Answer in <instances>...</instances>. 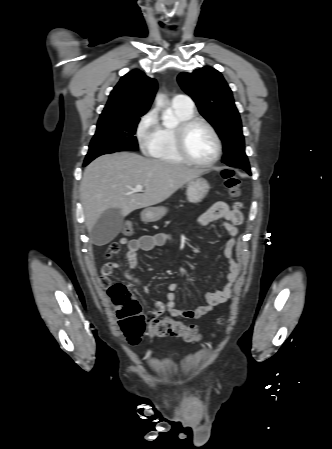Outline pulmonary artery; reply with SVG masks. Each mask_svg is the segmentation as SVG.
I'll use <instances>...</instances> for the list:
<instances>
[{
  "label": "pulmonary artery",
  "mask_w": 332,
  "mask_h": 449,
  "mask_svg": "<svg viewBox=\"0 0 332 449\" xmlns=\"http://www.w3.org/2000/svg\"><path fill=\"white\" fill-rule=\"evenodd\" d=\"M172 104L175 106H178V107L188 109V110H193V108H194V103L191 100V98H189L188 96L183 95V94L175 95L172 98Z\"/></svg>",
  "instance_id": "1"
}]
</instances>
